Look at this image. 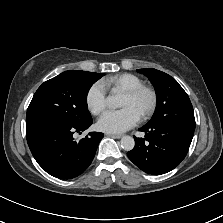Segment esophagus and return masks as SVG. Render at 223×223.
<instances>
[{
	"label": "esophagus",
	"mask_w": 223,
	"mask_h": 223,
	"mask_svg": "<svg viewBox=\"0 0 223 223\" xmlns=\"http://www.w3.org/2000/svg\"><path fill=\"white\" fill-rule=\"evenodd\" d=\"M106 136L111 137V138H116V139H120L122 137L121 135L111 134V133H107Z\"/></svg>",
	"instance_id": "esophagus-1"
}]
</instances>
